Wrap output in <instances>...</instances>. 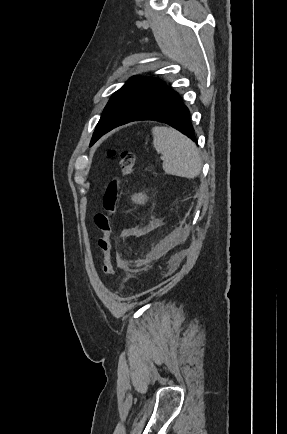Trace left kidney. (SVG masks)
I'll return each instance as SVG.
<instances>
[{
	"mask_svg": "<svg viewBox=\"0 0 287 434\" xmlns=\"http://www.w3.org/2000/svg\"><path fill=\"white\" fill-rule=\"evenodd\" d=\"M133 200L137 203L144 204L145 201L147 200V197L143 194H138L134 196Z\"/></svg>",
	"mask_w": 287,
	"mask_h": 434,
	"instance_id": "1",
	"label": "left kidney"
}]
</instances>
